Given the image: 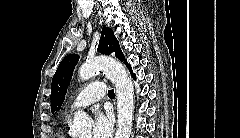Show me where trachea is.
<instances>
[{"mask_svg": "<svg viewBox=\"0 0 240 138\" xmlns=\"http://www.w3.org/2000/svg\"><path fill=\"white\" fill-rule=\"evenodd\" d=\"M108 96H109V98H114V96H115V94H114V90L113 89H109L108 90Z\"/></svg>", "mask_w": 240, "mask_h": 138, "instance_id": "3493384b", "label": "trachea"}]
</instances>
